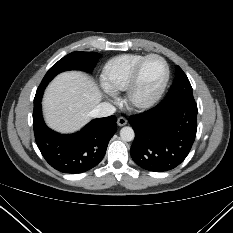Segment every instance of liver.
Instances as JSON below:
<instances>
[{
	"mask_svg": "<svg viewBox=\"0 0 233 233\" xmlns=\"http://www.w3.org/2000/svg\"><path fill=\"white\" fill-rule=\"evenodd\" d=\"M102 99L96 83L79 71L63 72L45 90L43 114L51 129L74 133L90 120V112Z\"/></svg>",
	"mask_w": 233,
	"mask_h": 233,
	"instance_id": "liver-1",
	"label": "liver"
}]
</instances>
